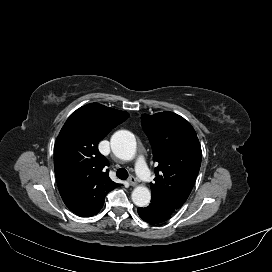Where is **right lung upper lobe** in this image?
<instances>
[{
    "mask_svg": "<svg viewBox=\"0 0 272 272\" xmlns=\"http://www.w3.org/2000/svg\"><path fill=\"white\" fill-rule=\"evenodd\" d=\"M128 117L124 111L87 104L70 115L56 139L54 169L59 192L65 205L81 217L97 214L105 196L120 185L109 178V162L97 145Z\"/></svg>",
    "mask_w": 272,
    "mask_h": 272,
    "instance_id": "right-lung-upper-lobe-1",
    "label": "right lung upper lobe"
}]
</instances>
